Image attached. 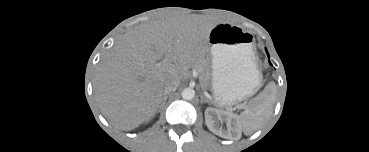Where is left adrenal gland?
<instances>
[{
	"instance_id": "left-adrenal-gland-1",
	"label": "left adrenal gland",
	"mask_w": 369,
	"mask_h": 152,
	"mask_svg": "<svg viewBox=\"0 0 369 152\" xmlns=\"http://www.w3.org/2000/svg\"><path fill=\"white\" fill-rule=\"evenodd\" d=\"M203 102L210 103V101L202 95L201 96V103H203Z\"/></svg>"
}]
</instances>
